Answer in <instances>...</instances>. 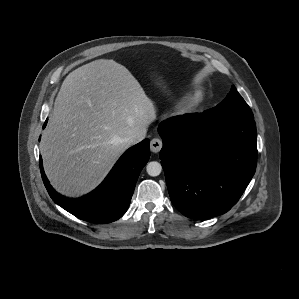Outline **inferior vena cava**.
<instances>
[{
	"instance_id": "obj_1",
	"label": "inferior vena cava",
	"mask_w": 299,
	"mask_h": 299,
	"mask_svg": "<svg viewBox=\"0 0 299 299\" xmlns=\"http://www.w3.org/2000/svg\"><path fill=\"white\" fill-rule=\"evenodd\" d=\"M146 130H141L139 132L133 133L127 137L122 138L121 142L126 145H133L145 138Z\"/></svg>"
}]
</instances>
